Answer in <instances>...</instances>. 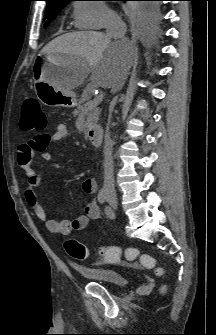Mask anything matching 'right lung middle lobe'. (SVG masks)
<instances>
[{"instance_id":"1","label":"right lung middle lobe","mask_w":216,"mask_h":335,"mask_svg":"<svg viewBox=\"0 0 216 335\" xmlns=\"http://www.w3.org/2000/svg\"><path fill=\"white\" fill-rule=\"evenodd\" d=\"M69 2H60L55 4L47 5L45 18L47 19L45 27L57 16V14L68 4ZM142 18L147 24H154L159 19V4L156 2L146 3L142 8Z\"/></svg>"}]
</instances>
